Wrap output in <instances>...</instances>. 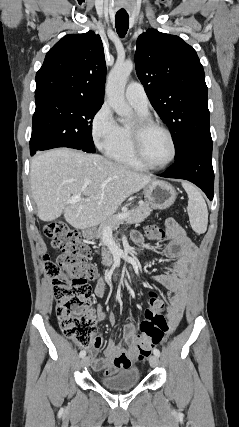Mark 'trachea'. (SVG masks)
I'll use <instances>...</instances> for the list:
<instances>
[{
	"label": "trachea",
	"instance_id": "3493384b",
	"mask_svg": "<svg viewBox=\"0 0 239 427\" xmlns=\"http://www.w3.org/2000/svg\"><path fill=\"white\" fill-rule=\"evenodd\" d=\"M115 25L118 35L123 38L128 30L129 16L127 14L116 15Z\"/></svg>",
	"mask_w": 239,
	"mask_h": 427
}]
</instances>
